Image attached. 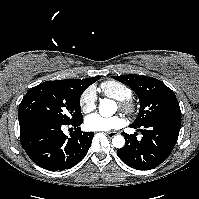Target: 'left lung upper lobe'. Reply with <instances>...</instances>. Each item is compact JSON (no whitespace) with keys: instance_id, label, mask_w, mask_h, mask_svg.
<instances>
[{"instance_id":"1","label":"left lung upper lobe","mask_w":199,"mask_h":199,"mask_svg":"<svg viewBox=\"0 0 199 199\" xmlns=\"http://www.w3.org/2000/svg\"><path fill=\"white\" fill-rule=\"evenodd\" d=\"M113 78L128 85L140 99V112L132 126H143L169 113H181L174 92L160 80L135 74L113 76Z\"/></svg>"}]
</instances>
